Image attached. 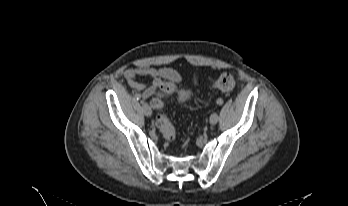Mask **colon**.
Returning <instances> with one entry per match:
<instances>
[{
  "instance_id": "1",
  "label": "colon",
  "mask_w": 348,
  "mask_h": 206,
  "mask_svg": "<svg viewBox=\"0 0 348 206\" xmlns=\"http://www.w3.org/2000/svg\"><path fill=\"white\" fill-rule=\"evenodd\" d=\"M213 86L221 91H231L235 87V80L230 74H222L213 83ZM173 92L178 93V99L181 103L187 102L191 98L189 90L179 89L175 83L168 81L162 84L155 97L151 100L152 107L159 111L156 117L157 127L164 139L168 141H172L175 138L176 130L162 109L164 107V98Z\"/></svg>"
}]
</instances>
